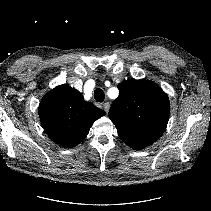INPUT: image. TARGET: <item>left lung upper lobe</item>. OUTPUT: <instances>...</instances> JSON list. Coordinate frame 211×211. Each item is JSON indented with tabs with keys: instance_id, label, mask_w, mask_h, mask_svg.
<instances>
[{
	"instance_id": "obj_1",
	"label": "left lung upper lobe",
	"mask_w": 211,
	"mask_h": 211,
	"mask_svg": "<svg viewBox=\"0 0 211 211\" xmlns=\"http://www.w3.org/2000/svg\"><path fill=\"white\" fill-rule=\"evenodd\" d=\"M118 89L120 93L111 105L109 118L126 145L143 149L164 132L169 118V98L147 80H124Z\"/></svg>"
}]
</instances>
